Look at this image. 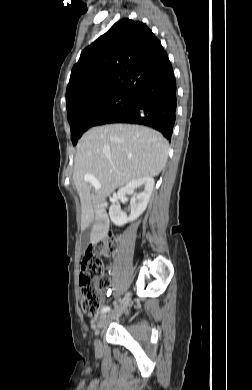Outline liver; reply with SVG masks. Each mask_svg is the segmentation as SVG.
<instances>
[{"label": "liver", "instance_id": "1", "mask_svg": "<svg viewBox=\"0 0 252 390\" xmlns=\"http://www.w3.org/2000/svg\"><path fill=\"white\" fill-rule=\"evenodd\" d=\"M168 152L162 134L144 126L110 124L84 133L77 144L73 180L81 201V229L92 224V244L103 240L109 230L106 198L133 180L159 175ZM86 174L94 176L101 188L93 190L84 180Z\"/></svg>", "mask_w": 252, "mask_h": 390}]
</instances>
